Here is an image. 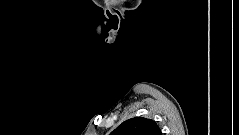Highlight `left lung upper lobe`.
Instances as JSON below:
<instances>
[{"instance_id":"1","label":"left lung upper lobe","mask_w":239,"mask_h":135,"mask_svg":"<svg viewBox=\"0 0 239 135\" xmlns=\"http://www.w3.org/2000/svg\"><path fill=\"white\" fill-rule=\"evenodd\" d=\"M110 135H161V130L153 120L135 117L124 121Z\"/></svg>"}]
</instances>
